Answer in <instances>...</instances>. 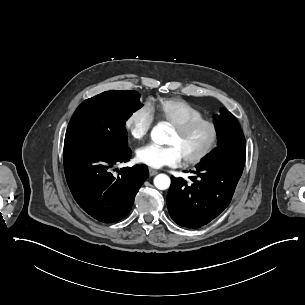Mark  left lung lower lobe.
Masks as SVG:
<instances>
[{
  "label": "left lung lower lobe",
  "mask_w": 305,
  "mask_h": 305,
  "mask_svg": "<svg viewBox=\"0 0 305 305\" xmlns=\"http://www.w3.org/2000/svg\"><path fill=\"white\" fill-rule=\"evenodd\" d=\"M244 165V158H214L196 166L192 184L171 177L167 206L174 222L197 229L217 217L231 202Z\"/></svg>",
  "instance_id": "left-lung-lower-lobe-1"
}]
</instances>
